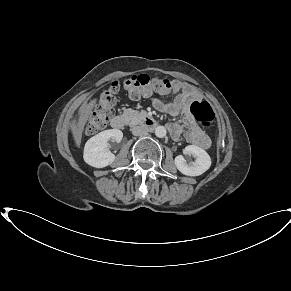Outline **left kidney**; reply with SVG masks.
<instances>
[{
  "label": "left kidney",
  "instance_id": "left-kidney-1",
  "mask_svg": "<svg viewBox=\"0 0 291 291\" xmlns=\"http://www.w3.org/2000/svg\"><path fill=\"white\" fill-rule=\"evenodd\" d=\"M183 153L194 156L196 160L187 162L182 155L177 156L175 158V165L182 174L199 176L210 168L211 158L204 149L195 145H188L184 148Z\"/></svg>",
  "mask_w": 291,
  "mask_h": 291
}]
</instances>
